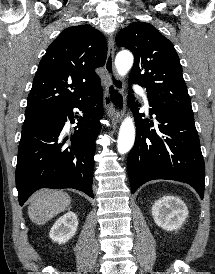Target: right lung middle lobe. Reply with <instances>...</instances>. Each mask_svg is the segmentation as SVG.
Masks as SVG:
<instances>
[{
    "label": "right lung middle lobe",
    "instance_id": "dd1d6c3e",
    "mask_svg": "<svg viewBox=\"0 0 215 274\" xmlns=\"http://www.w3.org/2000/svg\"><path fill=\"white\" fill-rule=\"evenodd\" d=\"M57 110H34L25 113V120L22 127V133L36 128L40 124L51 119Z\"/></svg>",
    "mask_w": 215,
    "mask_h": 274
}]
</instances>
